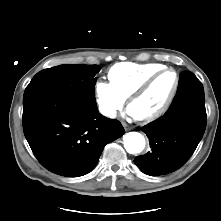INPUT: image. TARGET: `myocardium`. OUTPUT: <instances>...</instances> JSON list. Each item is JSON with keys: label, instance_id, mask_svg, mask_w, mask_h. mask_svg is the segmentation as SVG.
I'll return each instance as SVG.
<instances>
[{"label": "myocardium", "instance_id": "obj_1", "mask_svg": "<svg viewBox=\"0 0 221 221\" xmlns=\"http://www.w3.org/2000/svg\"><path fill=\"white\" fill-rule=\"evenodd\" d=\"M166 72H173L175 75V85L174 88L170 94V96L168 97L167 101L165 102V104L162 106V108L160 110H158L157 112L148 115V116H142V117H134L137 121L142 122V123H150L153 121H156L157 119L161 118L170 108V106L172 105L179 86H180V77H179V73L171 67H164L160 70H158L157 72L153 73L151 76H149L128 98L127 101V107L130 108L131 104L139 99L140 97H142L150 88L151 86L155 83V81L162 76L164 73Z\"/></svg>", "mask_w": 221, "mask_h": 221}]
</instances>
